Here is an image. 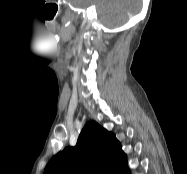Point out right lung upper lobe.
Returning <instances> with one entry per match:
<instances>
[{"instance_id":"right-lung-upper-lobe-1","label":"right lung upper lobe","mask_w":187,"mask_h":174,"mask_svg":"<svg viewBox=\"0 0 187 174\" xmlns=\"http://www.w3.org/2000/svg\"><path fill=\"white\" fill-rule=\"evenodd\" d=\"M44 174H129V169L115 135L91 121L83 128L76 146L56 154Z\"/></svg>"}]
</instances>
